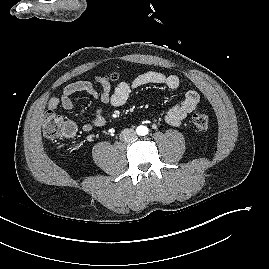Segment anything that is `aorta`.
Masks as SVG:
<instances>
[{
	"instance_id": "762f6f07",
	"label": "aorta",
	"mask_w": 269,
	"mask_h": 269,
	"mask_svg": "<svg viewBox=\"0 0 269 269\" xmlns=\"http://www.w3.org/2000/svg\"><path fill=\"white\" fill-rule=\"evenodd\" d=\"M136 131H137V134L140 136H144L148 133V129L145 126H138Z\"/></svg>"
}]
</instances>
